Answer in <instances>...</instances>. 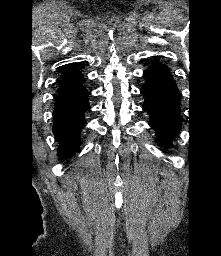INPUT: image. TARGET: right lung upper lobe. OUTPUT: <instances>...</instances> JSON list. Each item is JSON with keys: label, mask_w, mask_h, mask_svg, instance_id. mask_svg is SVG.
Returning a JSON list of instances; mask_svg holds the SVG:
<instances>
[{"label": "right lung upper lobe", "mask_w": 221, "mask_h": 256, "mask_svg": "<svg viewBox=\"0 0 221 256\" xmlns=\"http://www.w3.org/2000/svg\"><path fill=\"white\" fill-rule=\"evenodd\" d=\"M85 79L83 75L74 68H69L60 84V89L56 100H61L80 92L87 91L83 86Z\"/></svg>", "instance_id": "1"}]
</instances>
